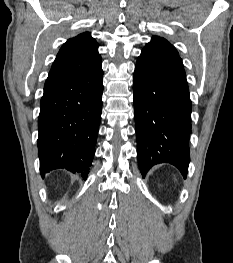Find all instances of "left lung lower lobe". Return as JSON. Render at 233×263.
I'll return each instance as SVG.
<instances>
[{
	"label": "left lung lower lobe",
	"mask_w": 233,
	"mask_h": 263,
	"mask_svg": "<svg viewBox=\"0 0 233 263\" xmlns=\"http://www.w3.org/2000/svg\"><path fill=\"white\" fill-rule=\"evenodd\" d=\"M133 93L142 175L155 164L170 163L186 178L192 105L182 59L166 39L154 36L143 48Z\"/></svg>",
	"instance_id": "0a47b994"
}]
</instances>
